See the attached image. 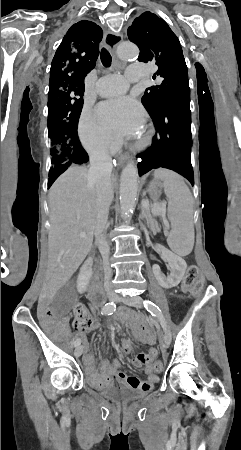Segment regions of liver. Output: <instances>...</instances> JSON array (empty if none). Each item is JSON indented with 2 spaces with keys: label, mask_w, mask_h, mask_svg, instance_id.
Returning a JSON list of instances; mask_svg holds the SVG:
<instances>
[{
  "label": "liver",
  "mask_w": 241,
  "mask_h": 450,
  "mask_svg": "<svg viewBox=\"0 0 241 450\" xmlns=\"http://www.w3.org/2000/svg\"><path fill=\"white\" fill-rule=\"evenodd\" d=\"M87 174V168L70 166L50 188L51 228L41 302L52 300L91 250L97 222V192L95 186L88 188ZM111 186H117L115 176H111ZM80 232H86L85 238H79Z\"/></svg>",
  "instance_id": "1"
}]
</instances>
